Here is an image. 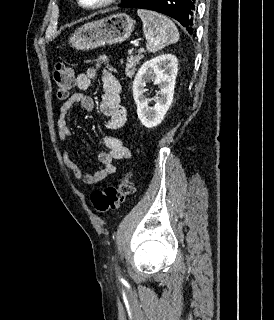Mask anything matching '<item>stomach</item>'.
Instances as JSON below:
<instances>
[{
	"mask_svg": "<svg viewBox=\"0 0 274 320\" xmlns=\"http://www.w3.org/2000/svg\"><path fill=\"white\" fill-rule=\"evenodd\" d=\"M135 22L127 14H113L96 22H88L71 34L69 44L75 50H95L100 46L121 44L134 32Z\"/></svg>",
	"mask_w": 274,
	"mask_h": 320,
	"instance_id": "0dacf381",
	"label": "stomach"
}]
</instances>
